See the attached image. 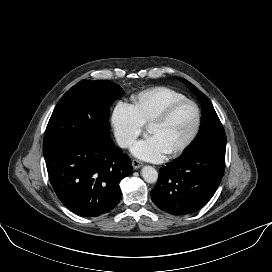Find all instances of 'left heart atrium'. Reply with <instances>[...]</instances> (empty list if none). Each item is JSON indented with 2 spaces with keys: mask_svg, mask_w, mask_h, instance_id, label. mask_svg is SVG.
<instances>
[{
  "mask_svg": "<svg viewBox=\"0 0 272 272\" xmlns=\"http://www.w3.org/2000/svg\"><path fill=\"white\" fill-rule=\"evenodd\" d=\"M131 152L139 159L153 162L162 160L167 154L162 143L155 136L138 141L132 146Z\"/></svg>",
  "mask_w": 272,
  "mask_h": 272,
  "instance_id": "obj_1",
  "label": "left heart atrium"
}]
</instances>
